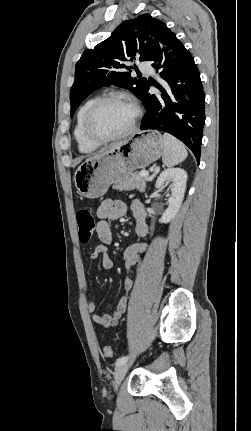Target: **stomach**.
Returning <instances> with one entry per match:
<instances>
[{
	"label": "stomach",
	"instance_id": "stomach-1",
	"mask_svg": "<svg viewBox=\"0 0 251 431\" xmlns=\"http://www.w3.org/2000/svg\"><path fill=\"white\" fill-rule=\"evenodd\" d=\"M163 152L164 142L159 132H138L106 154L83 162L74 175L77 192L85 198H99L111 184L124 181L137 169H144Z\"/></svg>",
	"mask_w": 251,
	"mask_h": 431
}]
</instances>
